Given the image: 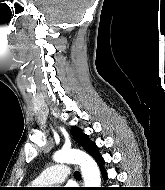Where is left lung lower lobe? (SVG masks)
Returning <instances> with one entry per match:
<instances>
[{
  "label": "left lung lower lobe",
  "instance_id": "1",
  "mask_svg": "<svg viewBox=\"0 0 165 190\" xmlns=\"http://www.w3.org/2000/svg\"><path fill=\"white\" fill-rule=\"evenodd\" d=\"M97 161H98V163L100 164V165H102L103 163H104V160H103V158H99V159H97ZM102 171H103V175H104V177L106 176V173H105V171L102 169ZM105 189H107V188H105Z\"/></svg>",
  "mask_w": 165,
  "mask_h": 190
}]
</instances>
